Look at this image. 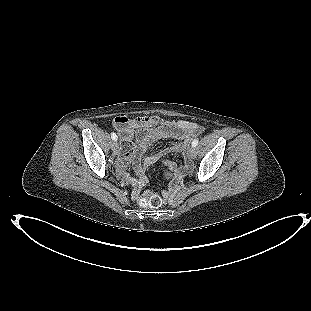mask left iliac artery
Masks as SVG:
<instances>
[{
    "label": "left iliac artery",
    "instance_id": "1",
    "mask_svg": "<svg viewBox=\"0 0 311 311\" xmlns=\"http://www.w3.org/2000/svg\"><path fill=\"white\" fill-rule=\"evenodd\" d=\"M198 145V139H194L193 141H192V146L193 147H196Z\"/></svg>",
    "mask_w": 311,
    "mask_h": 311
}]
</instances>
